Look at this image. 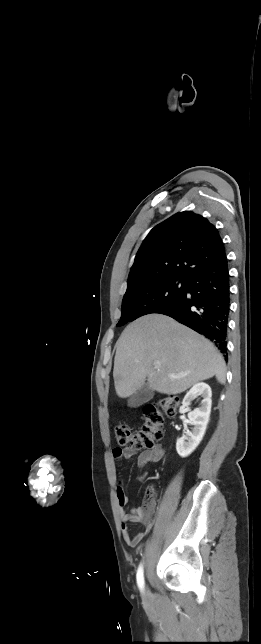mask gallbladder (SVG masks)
<instances>
[{
    "mask_svg": "<svg viewBox=\"0 0 261 644\" xmlns=\"http://www.w3.org/2000/svg\"><path fill=\"white\" fill-rule=\"evenodd\" d=\"M154 396V391L149 388L147 384H144L139 390H137L128 400V406L131 408H137L142 404L151 400Z\"/></svg>",
    "mask_w": 261,
    "mask_h": 644,
    "instance_id": "gallbladder-1",
    "label": "gallbladder"
}]
</instances>
